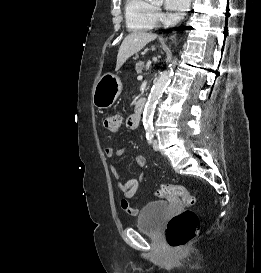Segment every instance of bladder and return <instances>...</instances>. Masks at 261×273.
Segmentation results:
<instances>
[{"instance_id":"31cf9c89","label":"bladder","mask_w":261,"mask_h":273,"mask_svg":"<svg viewBox=\"0 0 261 273\" xmlns=\"http://www.w3.org/2000/svg\"><path fill=\"white\" fill-rule=\"evenodd\" d=\"M170 205L157 201L146 204L136 220L138 229L146 234H157L166 218Z\"/></svg>"}]
</instances>
